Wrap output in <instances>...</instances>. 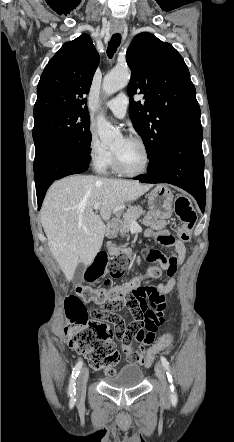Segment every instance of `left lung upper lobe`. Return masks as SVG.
<instances>
[{"instance_id":"obj_1","label":"left lung upper lobe","mask_w":234,"mask_h":442,"mask_svg":"<svg viewBox=\"0 0 234 442\" xmlns=\"http://www.w3.org/2000/svg\"><path fill=\"white\" fill-rule=\"evenodd\" d=\"M132 75L128 85L130 117L155 165L176 132L200 123V108L189 70L178 51L153 34L136 35L126 53ZM143 101L135 102V94Z\"/></svg>"}]
</instances>
